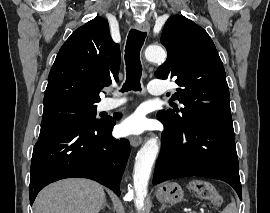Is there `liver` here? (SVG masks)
I'll use <instances>...</instances> for the list:
<instances>
[{"label": "liver", "mask_w": 270, "mask_h": 213, "mask_svg": "<svg viewBox=\"0 0 270 213\" xmlns=\"http://www.w3.org/2000/svg\"><path fill=\"white\" fill-rule=\"evenodd\" d=\"M106 200L101 185L86 179H66L44 188L35 213H99Z\"/></svg>", "instance_id": "1"}]
</instances>
